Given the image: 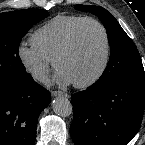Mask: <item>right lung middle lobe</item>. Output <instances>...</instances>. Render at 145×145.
<instances>
[{
    "mask_svg": "<svg viewBox=\"0 0 145 145\" xmlns=\"http://www.w3.org/2000/svg\"><path fill=\"white\" fill-rule=\"evenodd\" d=\"M48 15L46 10L40 9L0 13V84L27 78L18 54L19 44L28 30Z\"/></svg>",
    "mask_w": 145,
    "mask_h": 145,
    "instance_id": "dd1d6c3e",
    "label": "right lung middle lobe"
}]
</instances>
